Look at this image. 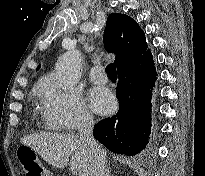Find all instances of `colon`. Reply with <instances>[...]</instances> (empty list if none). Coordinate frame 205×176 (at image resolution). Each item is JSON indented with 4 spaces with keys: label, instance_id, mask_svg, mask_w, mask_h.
<instances>
[{
    "label": "colon",
    "instance_id": "5ec220e1",
    "mask_svg": "<svg viewBox=\"0 0 205 176\" xmlns=\"http://www.w3.org/2000/svg\"><path fill=\"white\" fill-rule=\"evenodd\" d=\"M18 158L23 165L25 176H48L47 170L35 152L24 151Z\"/></svg>",
    "mask_w": 205,
    "mask_h": 176
}]
</instances>
